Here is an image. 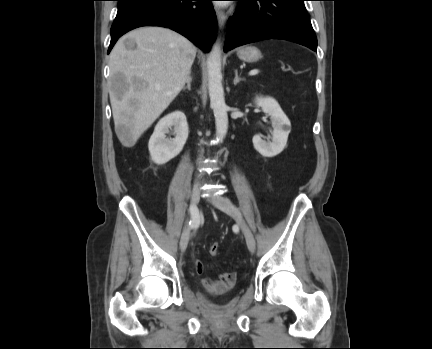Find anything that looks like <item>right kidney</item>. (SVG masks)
I'll return each mask as SVG.
<instances>
[{
	"mask_svg": "<svg viewBox=\"0 0 432 349\" xmlns=\"http://www.w3.org/2000/svg\"><path fill=\"white\" fill-rule=\"evenodd\" d=\"M172 128L175 138H166V134ZM188 133V124L183 112L175 111L160 119L148 144L152 161L162 165L176 157L182 151Z\"/></svg>",
	"mask_w": 432,
	"mask_h": 349,
	"instance_id": "right-kidney-1",
	"label": "right kidney"
}]
</instances>
